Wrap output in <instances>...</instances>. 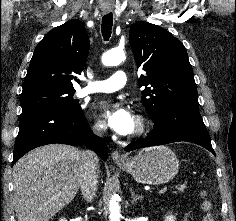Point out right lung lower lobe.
I'll return each mask as SVG.
<instances>
[{"label":"right lung lower lobe","mask_w":236,"mask_h":221,"mask_svg":"<svg viewBox=\"0 0 236 221\" xmlns=\"http://www.w3.org/2000/svg\"><path fill=\"white\" fill-rule=\"evenodd\" d=\"M53 143L86 145L104 161L107 159L105 141L92 134L82 110L37 107L21 114L12 165L30 150Z\"/></svg>","instance_id":"1"}]
</instances>
